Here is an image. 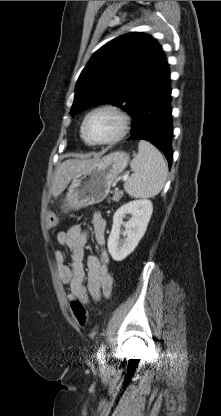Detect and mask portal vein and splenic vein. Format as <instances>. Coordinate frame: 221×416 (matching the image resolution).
Here are the masks:
<instances>
[{
    "label": "portal vein and splenic vein",
    "instance_id": "portal-vein-and-splenic-vein-1",
    "mask_svg": "<svg viewBox=\"0 0 221 416\" xmlns=\"http://www.w3.org/2000/svg\"><path fill=\"white\" fill-rule=\"evenodd\" d=\"M122 178H123L124 180H126V179L128 178V175H124Z\"/></svg>",
    "mask_w": 221,
    "mask_h": 416
}]
</instances>
